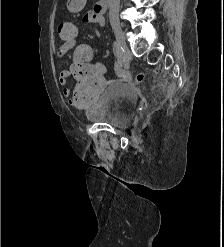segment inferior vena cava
Instances as JSON below:
<instances>
[{"label": "inferior vena cava", "mask_w": 224, "mask_h": 247, "mask_svg": "<svg viewBox=\"0 0 224 247\" xmlns=\"http://www.w3.org/2000/svg\"><path fill=\"white\" fill-rule=\"evenodd\" d=\"M119 6L120 0H110L109 20L112 22H119Z\"/></svg>", "instance_id": "602c4592"}]
</instances>
